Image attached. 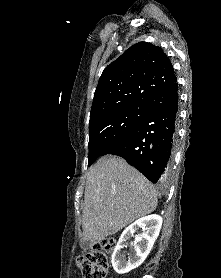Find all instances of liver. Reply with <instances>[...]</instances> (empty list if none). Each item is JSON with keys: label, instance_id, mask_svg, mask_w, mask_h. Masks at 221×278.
I'll return each mask as SVG.
<instances>
[{"label": "liver", "instance_id": "obj_1", "mask_svg": "<svg viewBox=\"0 0 221 278\" xmlns=\"http://www.w3.org/2000/svg\"><path fill=\"white\" fill-rule=\"evenodd\" d=\"M156 207L155 187L140 172L120 157H102L87 172L82 238L102 241Z\"/></svg>", "mask_w": 221, "mask_h": 278}]
</instances>
